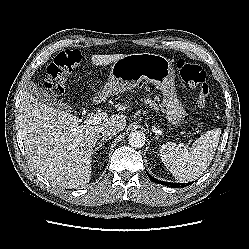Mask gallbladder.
<instances>
[{
    "label": "gallbladder",
    "instance_id": "gallbladder-1",
    "mask_svg": "<svg viewBox=\"0 0 249 249\" xmlns=\"http://www.w3.org/2000/svg\"><path fill=\"white\" fill-rule=\"evenodd\" d=\"M32 96H35L39 100L45 102L48 105L61 108L67 112L71 111V108L65 103L59 102L55 97H53L44 87H41L35 82H30L25 88Z\"/></svg>",
    "mask_w": 249,
    "mask_h": 249
}]
</instances>
